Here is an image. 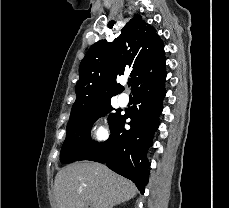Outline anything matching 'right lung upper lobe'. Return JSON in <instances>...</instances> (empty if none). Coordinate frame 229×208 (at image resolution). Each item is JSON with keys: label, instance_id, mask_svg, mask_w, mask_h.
<instances>
[{"label": "right lung upper lobe", "instance_id": "obj_1", "mask_svg": "<svg viewBox=\"0 0 229 208\" xmlns=\"http://www.w3.org/2000/svg\"><path fill=\"white\" fill-rule=\"evenodd\" d=\"M164 65V45L155 28L140 15L134 16L112 43L100 40L86 53L79 66L77 99L70 118L86 115L120 93L123 87L116 83L118 75L130 73L133 91Z\"/></svg>", "mask_w": 229, "mask_h": 208}]
</instances>
